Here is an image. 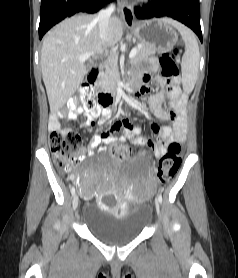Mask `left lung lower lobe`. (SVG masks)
I'll return each instance as SVG.
<instances>
[{
  "mask_svg": "<svg viewBox=\"0 0 238 278\" xmlns=\"http://www.w3.org/2000/svg\"><path fill=\"white\" fill-rule=\"evenodd\" d=\"M138 19L170 17L190 27L202 42L199 0H152L144 7H137Z\"/></svg>",
  "mask_w": 238,
  "mask_h": 278,
  "instance_id": "obj_1",
  "label": "left lung lower lobe"
}]
</instances>
